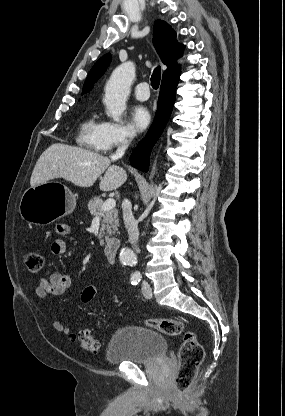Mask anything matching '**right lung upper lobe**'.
<instances>
[{
	"label": "right lung upper lobe",
	"mask_w": 285,
	"mask_h": 416,
	"mask_svg": "<svg viewBox=\"0 0 285 416\" xmlns=\"http://www.w3.org/2000/svg\"><path fill=\"white\" fill-rule=\"evenodd\" d=\"M153 43L161 61L167 65L162 81L180 75L177 59L182 56L184 45L177 43L176 33L169 24L162 20L155 21ZM111 61V55L102 56L90 70L83 86L82 94L89 92L94 83L103 75Z\"/></svg>",
	"instance_id": "right-lung-upper-lobe-1"
}]
</instances>
